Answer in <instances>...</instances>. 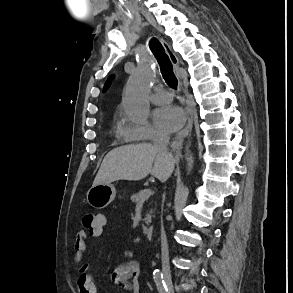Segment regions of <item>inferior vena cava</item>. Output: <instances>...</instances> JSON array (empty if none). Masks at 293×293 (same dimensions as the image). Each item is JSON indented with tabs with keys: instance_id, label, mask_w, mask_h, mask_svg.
Instances as JSON below:
<instances>
[{
	"instance_id": "1",
	"label": "inferior vena cava",
	"mask_w": 293,
	"mask_h": 293,
	"mask_svg": "<svg viewBox=\"0 0 293 293\" xmlns=\"http://www.w3.org/2000/svg\"><path fill=\"white\" fill-rule=\"evenodd\" d=\"M169 139L170 137L166 133H158L154 139L155 148L161 154H164L167 156H171V154L168 153V150H167ZM161 251H162V268L165 272H169L170 270L169 251H168L167 237H166L164 228H162V231H161Z\"/></svg>"
}]
</instances>
